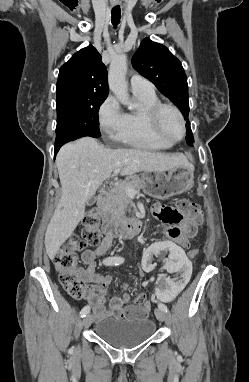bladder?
Listing matches in <instances>:
<instances>
[{
  "label": "bladder",
  "mask_w": 249,
  "mask_h": 382,
  "mask_svg": "<svg viewBox=\"0 0 249 382\" xmlns=\"http://www.w3.org/2000/svg\"><path fill=\"white\" fill-rule=\"evenodd\" d=\"M95 330L96 335L109 345L129 349L148 340L155 330V323L150 318L127 320L109 317L99 321Z\"/></svg>",
  "instance_id": "obj_1"
}]
</instances>
